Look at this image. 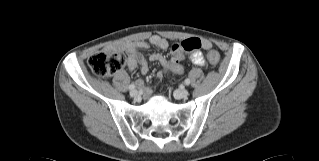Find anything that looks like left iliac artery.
<instances>
[{"mask_svg":"<svg viewBox=\"0 0 319 161\" xmlns=\"http://www.w3.org/2000/svg\"><path fill=\"white\" fill-rule=\"evenodd\" d=\"M184 84H185V85H189V84H190V79H188V78L185 79Z\"/></svg>","mask_w":319,"mask_h":161,"instance_id":"44dca946","label":"left iliac artery"}]
</instances>
